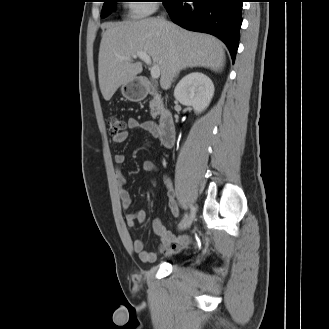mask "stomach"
Returning a JSON list of instances; mask_svg holds the SVG:
<instances>
[{
	"mask_svg": "<svg viewBox=\"0 0 329 329\" xmlns=\"http://www.w3.org/2000/svg\"><path fill=\"white\" fill-rule=\"evenodd\" d=\"M122 95L131 102L142 101L148 93V85L140 78L135 77L121 86Z\"/></svg>",
	"mask_w": 329,
	"mask_h": 329,
	"instance_id": "0dacf381",
	"label": "stomach"
}]
</instances>
